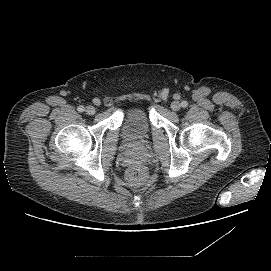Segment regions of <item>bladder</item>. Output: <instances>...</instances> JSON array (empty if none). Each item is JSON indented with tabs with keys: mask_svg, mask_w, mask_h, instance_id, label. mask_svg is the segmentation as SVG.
Wrapping results in <instances>:
<instances>
[{
	"mask_svg": "<svg viewBox=\"0 0 271 271\" xmlns=\"http://www.w3.org/2000/svg\"><path fill=\"white\" fill-rule=\"evenodd\" d=\"M149 130V115L143 107L135 106L126 112L122 121V134L128 142H142L148 136Z\"/></svg>",
	"mask_w": 271,
	"mask_h": 271,
	"instance_id": "31cf9c89",
	"label": "bladder"
}]
</instances>
